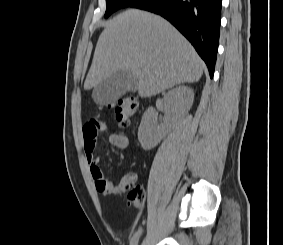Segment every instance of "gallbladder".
Masks as SVG:
<instances>
[{
	"label": "gallbladder",
	"mask_w": 283,
	"mask_h": 245,
	"mask_svg": "<svg viewBox=\"0 0 283 245\" xmlns=\"http://www.w3.org/2000/svg\"><path fill=\"white\" fill-rule=\"evenodd\" d=\"M137 90V80L128 70H120L111 74L94 87L92 98L99 105L114 103L126 92Z\"/></svg>",
	"instance_id": "bac80fb5"
}]
</instances>
